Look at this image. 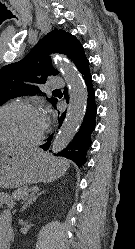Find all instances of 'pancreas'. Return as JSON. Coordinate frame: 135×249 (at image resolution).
I'll return each instance as SVG.
<instances>
[{
    "instance_id": "1",
    "label": "pancreas",
    "mask_w": 135,
    "mask_h": 249,
    "mask_svg": "<svg viewBox=\"0 0 135 249\" xmlns=\"http://www.w3.org/2000/svg\"><path fill=\"white\" fill-rule=\"evenodd\" d=\"M28 192L26 188H19L12 193L11 197L15 200H21L27 196Z\"/></svg>"
}]
</instances>
